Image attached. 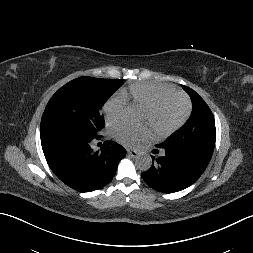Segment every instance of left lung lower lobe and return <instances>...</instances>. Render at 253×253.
Segmentation results:
<instances>
[{"label": "left lung lower lobe", "mask_w": 253, "mask_h": 253, "mask_svg": "<svg viewBox=\"0 0 253 253\" xmlns=\"http://www.w3.org/2000/svg\"><path fill=\"white\" fill-rule=\"evenodd\" d=\"M163 156H152V166L142 173L143 180L153 189L173 193L192 185L204 172L210 160L177 147H158ZM154 150V153H158Z\"/></svg>", "instance_id": "0a47b994"}]
</instances>
